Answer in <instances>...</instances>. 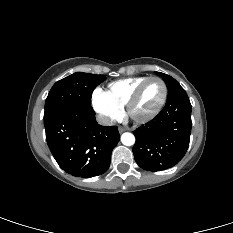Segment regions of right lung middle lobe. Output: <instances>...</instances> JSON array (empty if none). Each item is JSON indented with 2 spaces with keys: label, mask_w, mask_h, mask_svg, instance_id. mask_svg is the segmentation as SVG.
Listing matches in <instances>:
<instances>
[{
  "label": "right lung middle lobe",
  "mask_w": 233,
  "mask_h": 233,
  "mask_svg": "<svg viewBox=\"0 0 233 233\" xmlns=\"http://www.w3.org/2000/svg\"><path fill=\"white\" fill-rule=\"evenodd\" d=\"M105 79V75L77 72L59 80L48 94L44 116L71 104H91L93 90Z\"/></svg>",
  "instance_id": "dd1d6c3e"
}]
</instances>
